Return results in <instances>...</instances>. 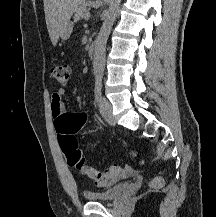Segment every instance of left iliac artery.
I'll list each match as a JSON object with an SVG mask.
<instances>
[{
	"mask_svg": "<svg viewBox=\"0 0 216 217\" xmlns=\"http://www.w3.org/2000/svg\"><path fill=\"white\" fill-rule=\"evenodd\" d=\"M102 95V75H96L95 77V99L100 102Z\"/></svg>",
	"mask_w": 216,
	"mask_h": 217,
	"instance_id": "1",
	"label": "left iliac artery"
}]
</instances>
